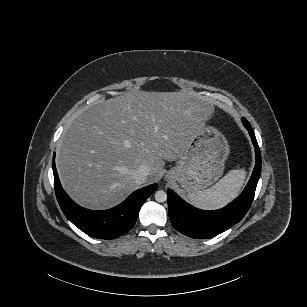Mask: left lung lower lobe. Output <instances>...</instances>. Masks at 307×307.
Returning a JSON list of instances; mask_svg holds the SVG:
<instances>
[{
    "mask_svg": "<svg viewBox=\"0 0 307 307\" xmlns=\"http://www.w3.org/2000/svg\"><path fill=\"white\" fill-rule=\"evenodd\" d=\"M244 126L255 147L256 165L246 188L237 199L222 209L204 211L189 205L172 190H167L170 221L182 234L198 239L214 237L238 223L250 208L260 177L261 153L251 125Z\"/></svg>",
    "mask_w": 307,
    "mask_h": 307,
    "instance_id": "1",
    "label": "left lung lower lobe"
}]
</instances>
